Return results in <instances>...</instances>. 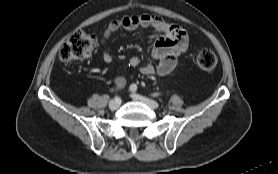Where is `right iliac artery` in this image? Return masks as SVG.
<instances>
[{
    "label": "right iliac artery",
    "instance_id": "82829eb1",
    "mask_svg": "<svg viewBox=\"0 0 278 174\" xmlns=\"http://www.w3.org/2000/svg\"><path fill=\"white\" fill-rule=\"evenodd\" d=\"M115 100H116V101H121L120 98L117 97V96L115 97Z\"/></svg>",
    "mask_w": 278,
    "mask_h": 174
}]
</instances>
